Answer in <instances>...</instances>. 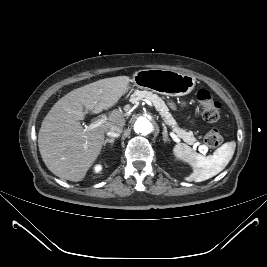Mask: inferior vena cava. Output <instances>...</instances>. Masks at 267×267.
<instances>
[{
    "label": "inferior vena cava",
    "mask_w": 267,
    "mask_h": 267,
    "mask_svg": "<svg viewBox=\"0 0 267 267\" xmlns=\"http://www.w3.org/2000/svg\"><path fill=\"white\" fill-rule=\"evenodd\" d=\"M121 133H122V127L118 125L111 126L107 131V135L109 137H119Z\"/></svg>",
    "instance_id": "602c4592"
}]
</instances>
